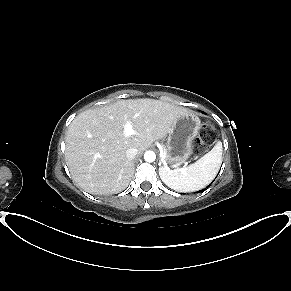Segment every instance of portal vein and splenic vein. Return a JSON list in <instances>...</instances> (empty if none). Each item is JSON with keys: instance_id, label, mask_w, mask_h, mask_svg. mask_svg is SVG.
Returning <instances> with one entry per match:
<instances>
[{"instance_id": "obj_1", "label": "portal vein and splenic vein", "mask_w": 291, "mask_h": 291, "mask_svg": "<svg viewBox=\"0 0 291 291\" xmlns=\"http://www.w3.org/2000/svg\"><path fill=\"white\" fill-rule=\"evenodd\" d=\"M123 134L125 137H130L136 134V132L133 130L132 124L129 121H126L124 124Z\"/></svg>"}]
</instances>
